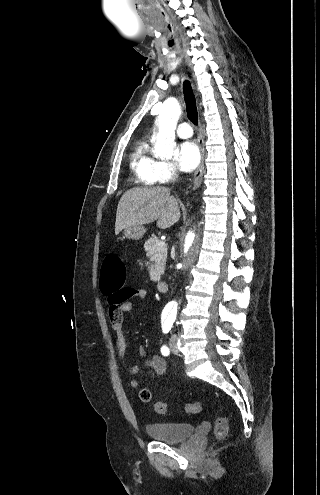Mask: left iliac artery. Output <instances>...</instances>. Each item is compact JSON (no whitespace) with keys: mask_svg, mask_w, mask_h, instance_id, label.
I'll list each match as a JSON object with an SVG mask.
<instances>
[{"mask_svg":"<svg viewBox=\"0 0 320 495\" xmlns=\"http://www.w3.org/2000/svg\"><path fill=\"white\" fill-rule=\"evenodd\" d=\"M172 325H173V320L172 319L167 318V319L163 320V322H162V331H163V333H165V334L168 333L171 330ZM161 353L164 356H168L169 355V349H168V347L165 346V345H163L161 347Z\"/></svg>","mask_w":320,"mask_h":495,"instance_id":"44dca946","label":"left iliac artery"}]
</instances>
